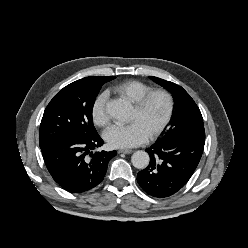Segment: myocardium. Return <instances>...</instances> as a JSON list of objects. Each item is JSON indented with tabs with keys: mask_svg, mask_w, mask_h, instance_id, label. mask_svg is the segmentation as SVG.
<instances>
[{
	"mask_svg": "<svg viewBox=\"0 0 248 248\" xmlns=\"http://www.w3.org/2000/svg\"><path fill=\"white\" fill-rule=\"evenodd\" d=\"M157 95L162 96L165 99L166 113L158 126L149 134L151 138H155L160 135L171 121L174 112V99L171 93L162 88L151 89L146 92L139 100H137L134 105L137 110L142 111L145 109L151 98Z\"/></svg>",
	"mask_w": 248,
	"mask_h": 248,
	"instance_id": "1",
	"label": "myocardium"
}]
</instances>
